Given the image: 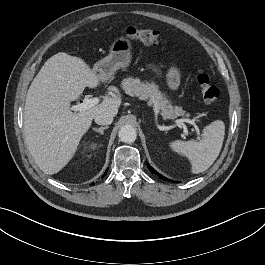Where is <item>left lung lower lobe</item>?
<instances>
[{"instance_id": "left-lung-lower-lobe-1", "label": "left lung lower lobe", "mask_w": 265, "mask_h": 265, "mask_svg": "<svg viewBox=\"0 0 265 265\" xmlns=\"http://www.w3.org/2000/svg\"><path fill=\"white\" fill-rule=\"evenodd\" d=\"M147 167L149 168V170H150L152 173H157L156 171H154V169H153L149 164H147ZM158 177L161 178V179H163V180H168V181H169V179L165 178V177L162 176L161 174H158Z\"/></svg>"}]
</instances>
